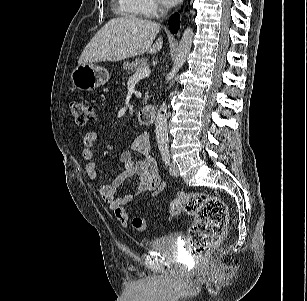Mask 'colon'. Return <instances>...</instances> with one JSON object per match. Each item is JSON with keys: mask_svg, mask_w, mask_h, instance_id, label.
<instances>
[{"mask_svg": "<svg viewBox=\"0 0 307 301\" xmlns=\"http://www.w3.org/2000/svg\"><path fill=\"white\" fill-rule=\"evenodd\" d=\"M69 110L76 125L85 126L96 118L94 105L83 100H72ZM181 212L194 218L188 231L187 249L194 256H202L217 246L225 234L228 211L225 202L205 192H180L169 204L170 217ZM132 225L136 230L144 231L147 222L135 217Z\"/></svg>", "mask_w": 307, "mask_h": 301, "instance_id": "obj_1", "label": "colon"}]
</instances>
